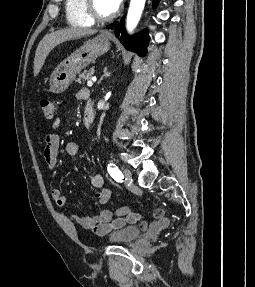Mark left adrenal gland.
Masks as SVG:
<instances>
[{"mask_svg": "<svg viewBox=\"0 0 255 287\" xmlns=\"http://www.w3.org/2000/svg\"><path fill=\"white\" fill-rule=\"evenodd\" d=\"M109 76H110V72H108L107 68H105L104 74H103V76H101V78H100L98 84H101L103 78H109Z\"/></svg>", "mask_w": 255, "mask_h": 287, "instance_id": "obj_1", "label": "left adrenal gland"}]
</instances>
